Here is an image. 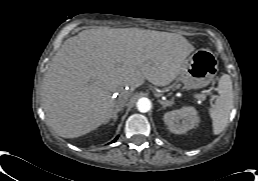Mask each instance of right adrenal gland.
<instances>
[{"instance_id":"right-adrenal-gland-1","label":"right adrenal gland","mask_w":258,"mask_h":181,"mask_svg":"<svg viewBox=\"0 0 258 181\" xmlns=\"http://www.w3.org/2000/svg\"><path fill=\"white\" fill-rule=\"evenodd\" d=\"M122 110H123L122 107H117V108L114 109L113 115L111 116V118L113 119V123H112L111 125H114V123H115L116 120H117V113L120 112V111H122Z\"/></svg>"}]
</instances>
